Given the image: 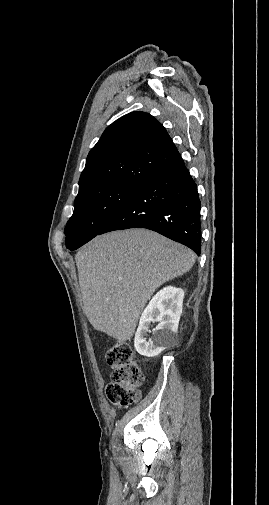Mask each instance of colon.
<instances>
[{
  "instance_id": "colon-1",
  "label": "colon",
  "mask_w": 269,
  "mask_h": 505,
  "mask_svg": "<svg viewBox=\"0 0 269 505\" xmlns=\"http://www.w3.org/2000/svg\"><path fill=\"white\" fill-rule=\"evenodd\" d=\"M111 368V382L106 387L108 400L118 407H127L140 399L138 387L143 374L127 341H118L106 352Z\"/></svg>"
}]
</instances>
